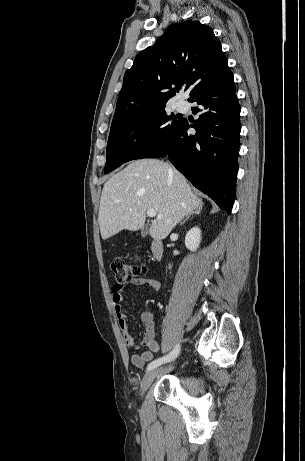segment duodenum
Segmentation results:
<instances>
[{"label": "duodenum", "mask_w": 305, "mask_h": 461, "mask_svg": "<svg viewBox=\"0 0 305 461\" xmlns=\"http://www.w3.org/2000/svg\"><path fill=\"white\" fill-rule=\"evenodd\" d=\"M151 255L153 260L158 261L161 259L163 254V245L162 242L158 239H152L150 242Z\"/></svg>", "instance_id": "1"}]
</instances>
